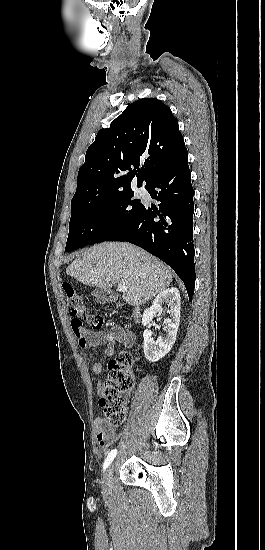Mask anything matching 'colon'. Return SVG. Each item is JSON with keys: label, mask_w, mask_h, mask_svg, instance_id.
<instances>
[{"label": "colon", "mask_w": 265, "mask_h": 550, "mask_svg": "<svg viewBox=\"0 0 265 550\" xmlns=\"http://www.w3.org/2000/svg\"><path fill=\"white\" fill-rule=\"evenodd\" d=\"M63 290L66 295L67 309L73 318L75 328L82 327L83 322L89 323L95 330L106 325L101 316L89 314L83 297L71 284L64 283ZM132 367L133 358L127 351H121L109 362V375L100 398L103 420L108 427H119L126 419L127 395L135 384Z\"/></svg>", "instance_id": "1"}]
</instances>
